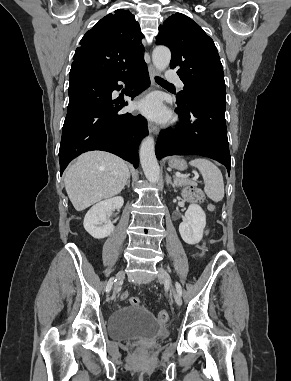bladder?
Listing matches in <instances>:
<instances>
[{
    "instance_id": "31cf9c89",
    "label": "bladder",
    "mask_w": 291,
    "mask_h": 381,
    "mask_svg": "<svg viewBox=\"0 0 291 381\" xmlns=\"http://www.w3.org/2000/svg\"><path fill=\"white\" fill-rule=\"evenodd\" d=\"M108 333L111 339L118 341L152 339L167 336L168 328L158 322L146 308L132 305L120 307L110 313Z\"/></svg>"
}]
</instances>
